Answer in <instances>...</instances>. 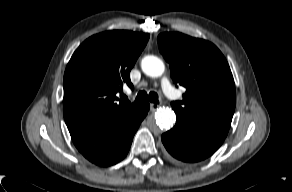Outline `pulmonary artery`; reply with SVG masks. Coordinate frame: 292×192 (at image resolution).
<instances>
[{"mask_svg": "<svg viewBox=\"0 0 292 192\" xmlns=\"http://www.w3.org/2000/svg\"><path fill=\"white\" fill-rule=\"evenodd\" d=\"M161 87L164 92V94L170 98V99H175L176 98V92L171 86L170 82L168 81L167 78H163L161 81Z\"/></svg>", "mask_w": 292, "mask_h": 192, "instance_id": "e3ab8cb5", "label": "pulmonary artery"}]
</instances>
